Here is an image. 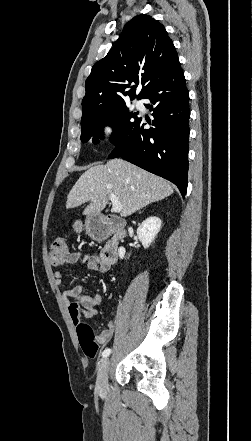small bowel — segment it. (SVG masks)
Instances as JSON below:
<instances>
[{
	"mask_svg": "<svg viewBox=\"0 0 252 441\" xmlns=\"http://www.w3.org/2000/svg\"><path fill=\"white\" fill-rule=\"evenodd\" d=\"M86 263L87 268L95 272H106L110 266L103 262L101 257L92 252L83 254L81 252L69 253L61 263V268L54 273L55 284L60 288L63 284V269L66 266L76 263ZM84 285H76L71 289L62 292V298L66 301L69 315L75 325L81 321V317L93 318L99 314L98 307L103 305L104 297L101 293L86 294ZM72 299V301H70ZM115 321H106L105 329L99 334L96 340L99 343L108 342L114 333Z\"/></svg>",
	"mask_w": 252,
	"mask_h": 441,
	"instance_id": "small-bowel-1",
	"label": "small bowel"
}]
</instances>
